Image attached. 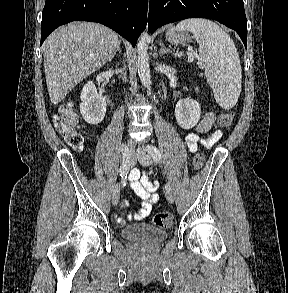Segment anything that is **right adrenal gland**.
Returning <instances> with one entry per match:
<instances>
[{
	"mask_svg": "<svg viewBox=\"0 0 288 293\" xmlns=\"http://www.w3.org/2000/svg\"><path fill=\"white\" fill-rule=\"evenodd\" d=\"M116 52L121 53V49H120V41H118L116 51H115V53L113 54V56L111 57V59H110L109 61H111V60L114 58V56L116 55Z\"/></svg>",
	"mask_w": 288,
	"mask_h": 293,
	"instance_id": "1",
	"label": "right adrenal gland"
}]
</instances>
